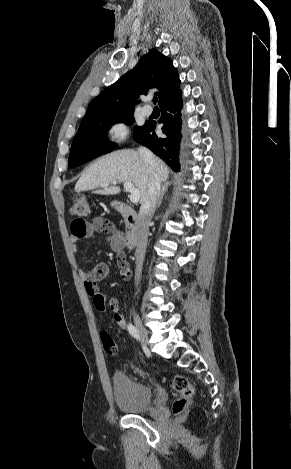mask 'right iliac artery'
Segmentation results:
<instances>
[{"mask_svg":"<svg viewBox=\"0 0 291 469\" xmlns=\"http://www.w3.org/2000/svg\"><path fill=\"white\" fill-rule=\"evenodd\" d=\"M127 328H128L129 333L132 335V337L136 338L137 340L140 339L138 330L135 326H133L132 324H128Z\"/></svg>","mask_w":291,"mask_h":469,"instance_id":"right-iliac-artery-1","label":"right iliac artery"}]
</instances>
